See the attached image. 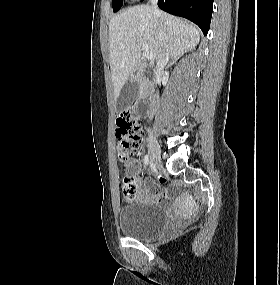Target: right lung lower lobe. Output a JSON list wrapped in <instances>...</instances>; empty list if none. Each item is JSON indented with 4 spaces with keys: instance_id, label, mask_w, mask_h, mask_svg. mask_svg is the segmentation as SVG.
<instances>
[{
    "instance_id": "1",
    "label": "right lung lower lobe",
    "mask_w": 280,
    "mask_h": 285,
    "mask_svg": "<svg viewBox=\"0 0 280 285\" xmlns=\"http://www.w3.org/2000/svg\"><path fill=\"white\" fill-rule=\"evenodd\" d=\"M158 6L164 11L194 22L204 35L208 33L213 0H158Z\"/></svg>"
}]
</instances>
